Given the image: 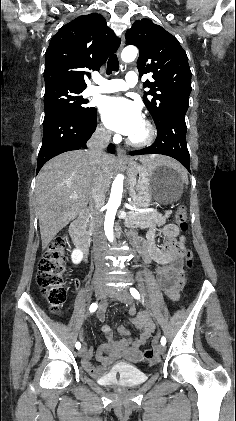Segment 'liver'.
<instances>
[{
  "instance_id": "1",
  "label": "liver",
  "mask_w": 236,
  "mask_h": 421,
  "mask_svg": "<svg viewBox=\"0 0 236 421\" xmlns=\"http://www.w3.org/2000/svg\"><path fill=\"white\" fill-rule=\"evenodd\" d=\"M144 166L168 164L183 170L182 164L159 154L139 156ZM116 160L104 152L99 164H91L85 150H68L54 156L36 176V211L39 219L42 249H47L57 233L83 213L93 200V188L101 184L105 192L114 174ZM77 196V198H70Z\"/></svg>"
}]
</instances>
